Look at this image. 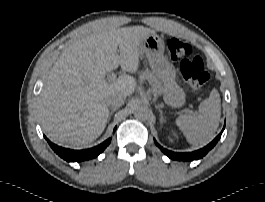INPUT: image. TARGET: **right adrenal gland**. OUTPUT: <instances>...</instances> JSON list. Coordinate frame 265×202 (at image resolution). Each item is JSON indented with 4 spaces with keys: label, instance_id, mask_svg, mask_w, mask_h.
<instances>
[{
    "label": "right adrenal gland",
    "instance_id": "right-adrenal-gland-1",
    "mask_svg": "<svg viewBox=\"0 0 265 202\" xmlns=\"http://www.w3.org/2000/svg\"><path fill=\"white\" fill-rule=\"evenodd\" d=\"M116 111V109L115 108H113V109H111V111L109 112V115H108V122L110 121V119H111V116L113 115V113Z\"/></svg>",
    "mask_w": 265,
    "mask_h": 202
}]
</instances>
